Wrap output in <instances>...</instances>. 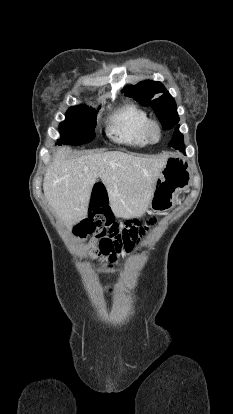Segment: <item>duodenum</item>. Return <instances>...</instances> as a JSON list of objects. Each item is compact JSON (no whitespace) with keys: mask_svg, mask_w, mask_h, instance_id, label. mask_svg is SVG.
I'll use <instances>...</instances> for the list:
<instances>
[{"mask_svg":"<svg viewBox=\"0 0 233 414\" xmlns=\"http://www.w3.org/2000/svg\"><path fill=\"white\" fill-rule=\"evenodd\" d=\"M103 185V179L96 180V184L93 187V203L88 206L91 212H107L109 210V203L105 195L106 190Z\"/></svg>","mask_w":233,"mask_h":414,"instance_id":"obj_1","label":"duodenum"}]
</instances>
